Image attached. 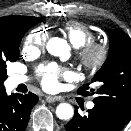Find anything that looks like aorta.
<instances>
[{
  "label": "aorta",
  "mask_w": 131,
  "mask_h": 131,
  "mask_svg": "<svg viewBox=\"0 0 131 131\" xmlns=\"http://www.w3.org/2000/svg\"><path fill=\"white\" fill-rule=\"evenodd\" d=\"M47 51L53 56H65L68 54L69 46L65 40L54 37L47 43ZM56 115L61 120L71 119L74 115L73 107L68 103H61L56 108Z\"/></svg>",
  "instance_id": "1"
}]
</instances>
